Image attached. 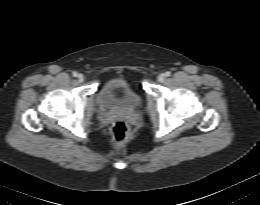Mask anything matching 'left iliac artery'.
I'll list each match as a JSON object with an SVG mask.
<instances>
[{
	"label": "left iliac artery",
	"mask_w": 260,
	"mask_h": 205,
	"mask_svg": "<svg viewBox=\"0 0 260 205\" xmlns=\"http://www.w3.org/2000/svg\"><path fill=\"white\" fill-rule=\"evenodd\" d=\"M171 75V73L169 72V71H167L166 73H165V76L166 77H169Z\"/></svg>",
	"instance_id": "1"
}]
</instances>
